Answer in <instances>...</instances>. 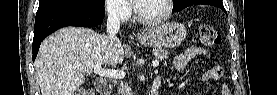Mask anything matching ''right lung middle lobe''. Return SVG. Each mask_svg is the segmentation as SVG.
<instances>
[{
	"label": "right lung middle lobe",
	"mask_w": 277,
	"mask_h": 95,
	"mask_svg": "<svg viewBox=\"0 0 277 95\" xmlns=\"http://www.w3.org/2000/svg\"><path fill=\"white\" fill-rule=\"evenodd\" d=\"M104 8V0H40L37 14L53 11H94Z\"/></svg>",
	"instance_id": "obj_1"
}]
</instances>
